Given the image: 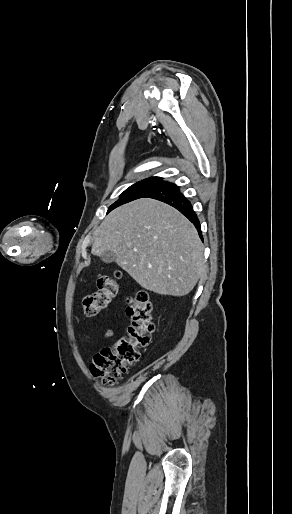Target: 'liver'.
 Here are the masks:
<instances>
[{
	"instance_id": "obj_1",
	"label": "liver",
	"mask_w": 292,
	"mask_h": 514,
	"mask_svg": "<svg viewBox=\"0 0 292 514\" xmlns=\"http://www.w3.org/2000/svg\"><path fill=\"white\" fill-rule=\"evenodd\" d=\"M111 250L137 284L163 296H186L206 274L204 246L193 224L178 210L141 198L106 216L93 256Z\"/></svg>"
}]
</instances>
